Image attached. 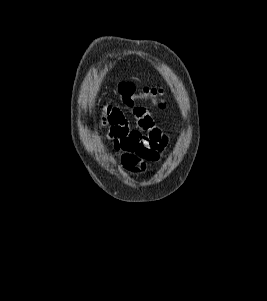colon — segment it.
<instances>
[{
  "mask_svg": "<svg viewBox=\"0 0 267 301\" xmlns=\"http://www.w3.org/2000/svg\"><path fill=\"white\" fill-rule=\"evenodd\" d=\"M118 93L123 103L132 104L138 98L150 99L158 107H164L165 103L161 99L162 90L155 87H146L141 91H137L134 84L123 82L118 86Z\"/></svg>",
  "mask_w": 267,
  "mask_h": 301,
  "instance_id": "colon-1",
  "label": "colon"
}]
</instances>
